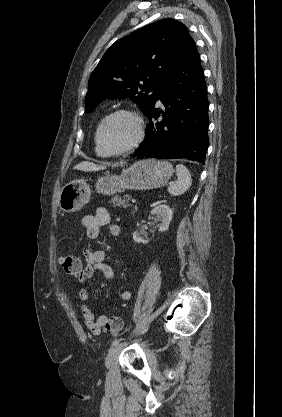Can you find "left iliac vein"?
I'll list each match as a JSON object with an SVG mask.
<instances>
[{
    "label": "left iliac vein",
    "mask_w": 282,
    "mask_h": 417,
    "mask_svg": "<svg viewBox=\"0 0 282 417\" xmlns=\"http://www.w3.org/2000/svg\"><path fill=\"white\" fill-rule=\"evenodd\" d=\"M126 345V342L120 343L108 352L105 359V366L107 368H110L114 364L115 360L118 358L119 354L125 348Z\"/></svg>",
    "instance_id": "left-iliac-vein-1"
}]
</instances>
